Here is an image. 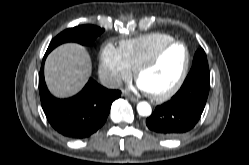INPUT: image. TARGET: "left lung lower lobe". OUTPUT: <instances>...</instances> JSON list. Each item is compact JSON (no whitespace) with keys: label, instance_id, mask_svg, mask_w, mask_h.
I'll list each match as a JSON object with an SVG mask.
<instances>
[{"label":"left lung lower lobe","instance_id":"1","mask_svg":"<svg viewBox=\"0 0 249 165\" xmlns=\"http://www.w3.org/2000/svg\"><path fill=\"white\" fill-rule=\"evenodd\" d=\"M209 88L210 74H188L171 100L157 106L146 119L147 127L166 138H175L188 132L201 117Z\"/></svg>","mask_w":249,"mask_h":165}]
</instances>
